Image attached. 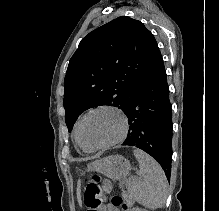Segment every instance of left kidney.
Here are the masks:
<instances>
[{"mask_svg":"<svg viewBox=\"0 0 219 211\" xmlns=\"http://www.w3.org/2000/svg\"><path fill=\"white\" fill-rule=\"evenodd\" d=\"M132 211H146V209H140V207H133Z\"/></svg>","mask_w":219,"mask_h":211,"instance_id":"obj_1","label":"left kidney"}]
</instances>
